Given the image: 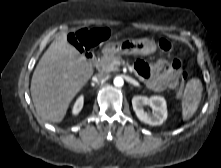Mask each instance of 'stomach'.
<instances>
[{
	"mask_svg": "<svg viewBox=\"0 0 221 168\" xmlns=\"http://www.w3.org/2000/svg\"><path fill=\"white\" fill-rule=\"evenodd\" d=\"M156 43L152 39H126L120 42L107 43L103 49L106 54L148 55L156 51Z\"/></svg>",
	"mask_w": 221,
	"mask_h": 168,
	"instance_id": "1",
	"label": "stomach"
}]
</instances>
